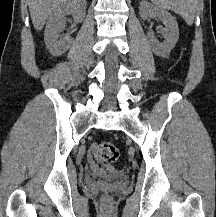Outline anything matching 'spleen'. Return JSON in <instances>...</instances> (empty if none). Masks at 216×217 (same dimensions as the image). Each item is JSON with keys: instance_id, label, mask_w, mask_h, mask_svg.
I'll list each match as a JSON object with an SVG mask.
<instances>
[{"instance_id": "1", "label": "spleen", "mask_w": 216, "mask_h": 217, "mask_svg": "<svg viewBox=\"0 0 216 217\" xmlns=\"http://www.w3.org/2000/svg\"><path fill=\"white\" fill-rule=\"evenodd\" d=\"M155 6L179 14L188 25L194 21L197 0H151Z\"/></svg>"}]
</instances>
